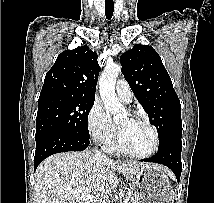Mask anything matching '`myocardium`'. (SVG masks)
Here are the masks:
<instances>
[{
    "label": "myocardium",
    "mask_w": 214,
    "mask_h": 203,
    "mask_svg": "<svg viewBox=\"0 0 214 203\" xmlns=\"http://www.w3.org/2000/svg\"><path fill=\"white\" fill-rule=\"evenodd\" d=\"M132 119L137 121V122L144 124L145 126H147L151 130V132L153 134L152 148L148 152L142 153V154L132 153V152L128 151L122 144L121 132H120L119 127H118V131H117L116 148L121 154H123L129 158L147 159V158L153 156L158 151L159 142H160L159 133H158L157 129L149 121H147L143 118H139V117H133Z\"/></svg>",
    "instance_id": "1"
}]
</instances>
